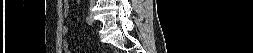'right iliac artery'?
Listing matches in <instances>:
<instances>
[{"label":"right iliac artery","mask_w":253,"mask_h":53,"mask_svg":"<svg viewBox=\"0 0 253 53\" xmlns=\"http://www.w3.org/2000/svg\"><path fill=\"white\" fill-rule=\"evenodd\" d=\"M86 22L88 23V25H92V23H93V19H92V17H86Z\"/></svg>","instance_id":"82829eb1"}]
</instances>
